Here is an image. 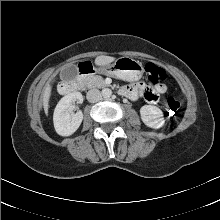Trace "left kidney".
<instances>
[{"label":"left kidney","instance_id":"left-kidney-1","mask_svg":"<svg viewBox=\"0 0 220 220\" xmlns=\"http://www.w3.org/2000/svg\"><path fill=\"white\" fill-rule=\"evenodd\" d=\"M141 120L143 123L153 129H159L164 126L165 119L160 108L153 105H144L140 108Z\"/></svg>","mask_w":220,"mask_h":220}]
</instances>
